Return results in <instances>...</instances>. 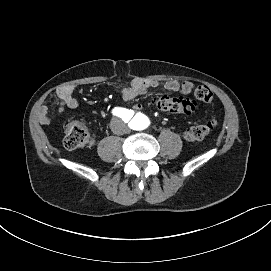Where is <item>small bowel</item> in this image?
<instances>
[{
	"instance_id": "small-bowel-1",
	"label": "small bowel",
	"mask_w": 271,
	"mask_h": 271,
	"mask_svg": "<svg viewBox=\"0 0 271 271\" xmlns=\"http://www.w3.org/2000/svg\"><path fill=\"white\" fill-rule=\"evenodd\" d=\"M163 87L164 89L172 92H179L181 94H190L195 92L198 87L193 81H177V80H166V81H155L147 79H133L131 83L122 89V97L125 101L134 99L135 97L145 93L148 89L153 87ZM77 87L74 85H67L59 87L56 90V95L59 100L60 113H64L66 110H74L78 107V101L75 97ZM140 104H135L134 109L139 110ZM38 120L43 125L52 123V118L49 115L48 108L41 106L38 112Z\"/></svg>"
}]
</instances>
